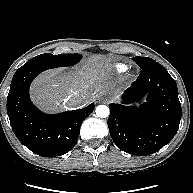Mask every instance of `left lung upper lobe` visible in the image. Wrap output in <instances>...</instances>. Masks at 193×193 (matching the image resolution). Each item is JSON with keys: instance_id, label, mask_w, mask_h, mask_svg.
<instances>
[{"instance_id": "left-lung-upper-lobe-1", "label": "left lung upper lobe", "mask_w": 193, "mask_h": 193, "mask_svg": "<svg viewBox=\"0 0 193 193\" xmlns=\"http://www.w3.org/2000/svg\"><path fill=\"white\" fill-rule=\"evenodd\" d=\"M133 60L138 64V66L141 69L148 68V67L153 66V65L158 63V62H156L155 60H153L151 58L140 57V56L134 57Z\"/></svg>"}]
</instances>
